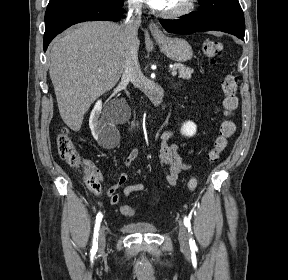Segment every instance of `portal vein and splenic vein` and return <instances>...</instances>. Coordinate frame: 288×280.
Instances as JSON below:
<instances>
[{
    "label": "portal vein and splenic vein",
    "instance_id": "1",
    "mask_svg": "<svg viewBox=\"0 0 288 280\" xmlns=\"http://www.w3.org/2000/svg\"><path fill=\"white\" fill-rule=\"evenodd\" d=\"M171 71H172V75H176L177 74V71H176L175 68H172Z\"/></svg>",
    "mask_w": 288,
    "mask_h": 280
}]
</instances>
